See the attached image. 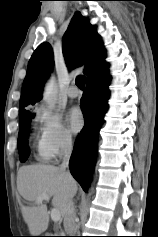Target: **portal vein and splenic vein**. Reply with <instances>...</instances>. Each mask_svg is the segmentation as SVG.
<instances>
[{
	"label": "portal vein and splenic vein",
	"mask_w": 158,
	"mask_h": 237,
	"mask_svg": "<svg viewBox=\"0 0 158 237\" xmlns=\"http://www.w3.org/2000/svg\"><path fill=\"white\" fill-rule=\"evenodd\" d=\"M36 200H37V202H42L43 200H50V196L47 194H42V195L38 196ZM51 219L54 222H58L61 219V214H60L59 210H57V209L51 210Z\"/></svg>",
	"instance_id": "18ae733b"
}]
</instances>
